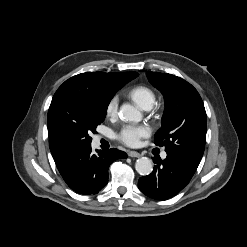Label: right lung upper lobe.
Returning a JSON list of instances; mask_svg holds the SVG:
<instances>
[{"instance_id":"cb5924a9","label":"right lung upper lobe","mask_w":247,"mask_h":247,"mask_svg":"<svg viewBox=\"0 0 247 247\" xmlns=\"http://www.w3.org/2000/svg\"><path fill=\"white\" fill-rule=\"evenodd\" d=\"M137 72L104 73L86 72L66 80L56 91L55 96L66 92L88 93L100 98H112L117 90L128 81L136 78ZM50 151L55 163L61 162L75 149L65 144L48 125Z\"/></svg>"}]
</instances>
